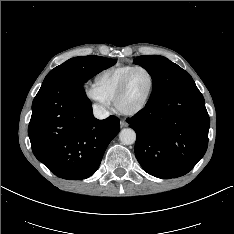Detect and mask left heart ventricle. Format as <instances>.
Instances as JSON below:
<instances>
[{"label":"left heart ventricle","mask_w":234,"mask_h":234,"mask_svg":"<svg viewBox=\"0 0 234 234\" xmlns=\"http://www.w3.org/2000/svg\"><path fill=\"white\" fill-rule=\"evenodd\" d=\"M150 87V77L144 70L133 73L126 92L120 100V107L125 110L139 106L145 99Z\"/></svg>","instance_id":"b2bd125f"}]
</instances>
